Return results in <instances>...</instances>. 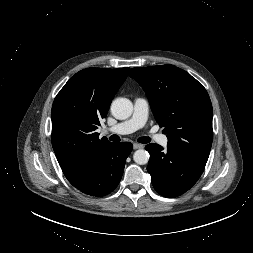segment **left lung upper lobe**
<instances>
[{"mask_svg": "<svg viewBox=\"0 0 253 253\" xmlns=\"http://www.w3.org/2000/svg\"><path fill=\"white\" fill-rule=\"evenodd\" d=\"M146 92L152 112L167 133V147L204 163L213 140L212 104L205 88L174 65L131 69Z\"/></svg>", "mask_w": 253, "mask_h": 253, "instance_id": "1", "label": "left lung upper lobe"}]
</instances>
